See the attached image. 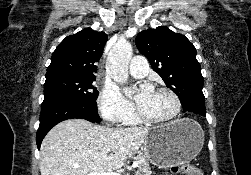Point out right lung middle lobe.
Masks as SVG:
<instances>
[{
  "label": "right lung middle lobe",
  "mask_w": 251,
  "mask_h": 175,
  "mask_svg": "<svg viewBox=\"0 0 251 175\" xmlns=\"http://www.w3.org/2000/svg\"><path fill=\"white\" fill-rule=\"evenodd\" d=\"M95 77L53 76L46 77L44 96L57 94L78 100L91 102L96 100L99 92L92 85Z\"/></svg>",
  "instance_id": "obj_1"
}]
</instances>
